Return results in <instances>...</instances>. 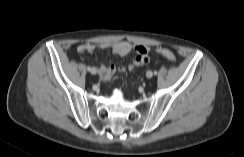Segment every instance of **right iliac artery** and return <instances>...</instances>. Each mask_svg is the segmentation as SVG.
<instances>
[{
  "label": "right iliac artery",
  "mask_w": 244,
  "mask_h": 157,
  "mask_svg": "<svg viewBox=\"0 0 244 157\" xmlns=\"http://www.w3.org/2000/svg\"><path fill=\"white\" fill-rule=\"evenodd\" d=\"M91 69H92V68H91L90 66L87 67V70H88V71H91Z\"/></svg>",
  "instance_id": "right-iliac-artery-1"
}]
</instances>
